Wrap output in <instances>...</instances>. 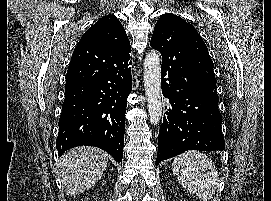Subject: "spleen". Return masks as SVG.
<instances>
[{"instance_id": "3e777b00", "label": "spleen", "mask_w": 271, "mask_h": 201, "mask_svg": "<svg viewBox=\"0 0 271 201\" xmlns=\"http://www.w3.org/2000/svg\"><path fill=\"white\" fill-rule=\"evenodd\" d=\"M173 174L183 188L199 199L209 201L219 185L218 170L204 153L189 150L174 158Z\"/></svg>"}]
</instances>
